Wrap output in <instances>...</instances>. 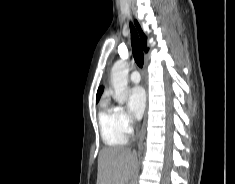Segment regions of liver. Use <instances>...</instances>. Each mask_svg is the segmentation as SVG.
<instances>
[{"mask_svg": "<svg viewBox=\"0 0 235 184\" xmlns=\"http://www.w3.org/2000/svg\"><path fill=\"white\" fill-rule=\"evenodd\" d=\"M136 168L130 148H103L98 156L97 184H127Z\"/></svg>", "mask_w": 235, "mask_h": 184, "instance_id": "6515ba94", "label": "liver"}]
</instances>
